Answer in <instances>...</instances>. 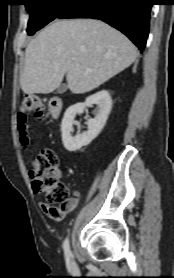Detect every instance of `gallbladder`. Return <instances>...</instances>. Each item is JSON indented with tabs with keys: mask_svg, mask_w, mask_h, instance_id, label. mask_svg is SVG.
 Listing matches in <instances>:
<instances>
[{
	"mask_svg": "<svg viewBox=\"0 0 174 278\" xmlns=\"http://www.w3.org/2000/svg\"><path fill=\"white\" fill-rule=\"evenodd\" d=\"M66 90H67V86H66L65 84H62V85H60V86L58 87L57 93H58V94H63V93L66 92Z\"/></svg>",
	"mask_w": 174,
	"mask_h": 278,
	"instance_id": "obj_1",
	"label": "gallbladder"
}]
</instances>
